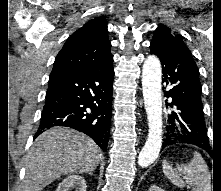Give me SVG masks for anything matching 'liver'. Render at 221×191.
<instances>
[{"instance_id": "obj_1", "label": "liver", "mask_w": 221, "mask_h": 191, "mask_svg": "<svg viewBox=\"0 0 221 191\" xmlns=\"http://www.w3.org/2000/svg\"><path fill=\"white\" fill-rule=\"evenodd\" d=\"M99 161L100 149L91 138L54 127L35 140L27 155L25 191H41L62 175L94 171Z\"/></svg>"}]
</instances>
